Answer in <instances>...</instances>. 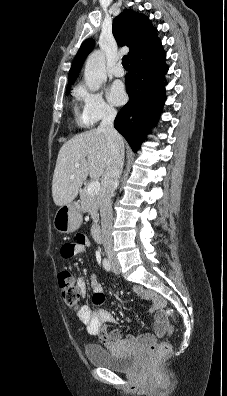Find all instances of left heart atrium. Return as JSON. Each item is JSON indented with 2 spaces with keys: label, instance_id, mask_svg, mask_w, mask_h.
<instances>
[{
  "label": "left heart atrium",
  "instance_id": "1",
  "mask_svg": "<svg viewBox=\"0 0 227 396\" xmlns=\"http://www.w3.org/2000/svg\"><path fill=\"white\" fill-rule=\"evenodd\" d=\"M108 99L115 105H122L126 102L127 95L121 83H114L108 91Z\"/></svg>",
  "mask_w": 227,
  "mask_h": 396
}]
</instances>
